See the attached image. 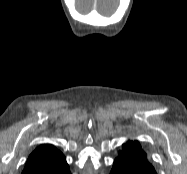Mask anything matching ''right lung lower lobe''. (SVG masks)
Instances as JSON below:
<instances>
[{
  "label": "right lung lower lobe",
  "instance_id": "right-lung-lower-lobe-1",
  "mask_svg": "<svg viewBox=\"0 0 187 174\" xmlns=\"http://www.w3.org/2000/svg\"><path fill=\"white\" fill-rule=\"evenodd\" d=\"M62 174H70L69 168L65 170Z\"/></svg>",
  "mask_w": 187,
  "mask_h": 174
}]
</instances>
